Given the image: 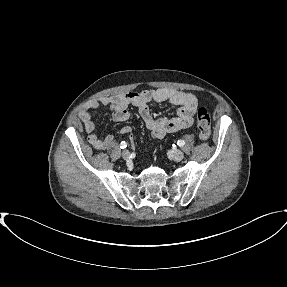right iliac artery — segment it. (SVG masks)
Wrapping results in <instances>:
<instances>
[{
  "label": "right iliac artery",
  "mask_w": 287,
  "mask_h": 287,
  "mask_svg": "<svg viewBox=\"0 0 287 287\" xmlns=\"http://www.w3.org/2000/svg\"><path fill=\"white\" fill-rule=\"evenodd\" d=\"M126 147H127V143L125 141H122L121 144H120V148L124 149Z\"/></svg>",
  "instance_id": "82829eb1"
}]
</instances>
